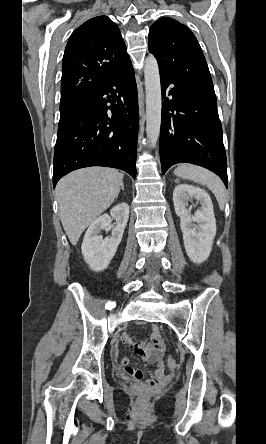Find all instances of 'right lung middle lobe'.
<instances>
[{
    "label": "right lung middle lobe",
    "instance_id": "right-lung-middle-lobe-1",
    "mask_svg": "<svg viewBox=\"0 0 266 444\" xmlns=\"http://www.w3.org/2000/svg\"><path fill=\"white\" fill-rule=\"evenodd\" d=\"M81 99H66L61 100L60 102V114L66 112L68 109H70L72 106H74L76 103H78Z\"/></svg>",
    "mask_w": 266,
    "mask_h": 444
}]
</instances>
